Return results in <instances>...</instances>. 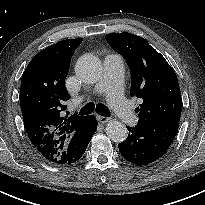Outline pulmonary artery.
Masks as SVG:
<instances>
[{
	"instance_id": "e3ab8cb5",
	"label": "pulmonary artery",
	"mask_w": 205,
	"mask_h": 205,
	"mask_svg": "<svg viewBox=\"0 0 205 205\" xmlns=\"http://www.w3.org/2000/svg\"><path fill=\"white\" fill-rule=\"evenodd\" d=\"M103 63V73L94 87V92L106 94L123 123L136 125L138 118L131 110L129 102L122 95L123 57L119 54H108L105 56Z\"/></svg>"
}]
</instances>
